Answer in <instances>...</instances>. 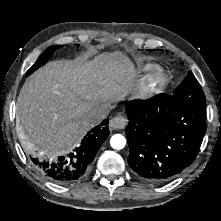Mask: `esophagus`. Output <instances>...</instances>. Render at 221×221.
<instances>
[{
    "mask_svg": "<svg viewBox=\"0 0 221 221\" xmlns=\"http://www.w3.org/2000/svg\"><path fill=\"white\" fill-rule=\"evenodd\" d=\"M127 119L122 115H117L110 120L109 128L111 130L123 129L127 125Z\"/></svg>",
    "mask_w": 221,
    "mask_h": 221,
    "instance_id": "34e87169",
    "label": "esophagus"
}]
</instances>
